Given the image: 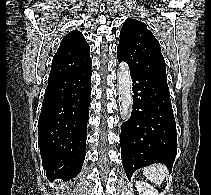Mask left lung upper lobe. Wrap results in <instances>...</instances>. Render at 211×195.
Listing matches in <instances>:
<instances>
[{
	"label": "left lung upper lobe",
	"mask_w": 211,
	"mask_h": 195,
	"mask_svg": "<svg viewBox=\"0 0 211 195\" xmlns=\"http://www.w3.org/2000/svg\"><path fill=\"white\" fill-rule=\"evenodd\" d=\"M117 51L130 68L149 74L168 88L160 44L145 23L132 18L126 19L120 31Z\"/></svg>",
	"instance_id": "obj_1"
}]
</instances>
